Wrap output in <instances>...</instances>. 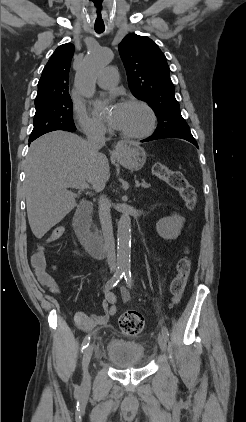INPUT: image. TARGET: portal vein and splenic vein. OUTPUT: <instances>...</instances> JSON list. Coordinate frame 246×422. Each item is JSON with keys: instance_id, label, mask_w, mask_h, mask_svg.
<instances>
[{"instance_id": "obj_1", "label": "portal vein and splenic vein", "mask_w": 246, "mask_h": 422, "mask_svg": "<svg viewBox=\"0 0 246 422\" xmlns=\"http://www.w3.org/2000/svg\"><path fill=\"white\" fill-rule=\"evenodd\" d=\"M141 184L139 183V182H136V187H139ZM68 186L69 187H72V188H77V189H80V190H87V189H90V186H89V184L88 183H86V182H80V183H70V184H68Z\"/></svg>"}]
</instances>
